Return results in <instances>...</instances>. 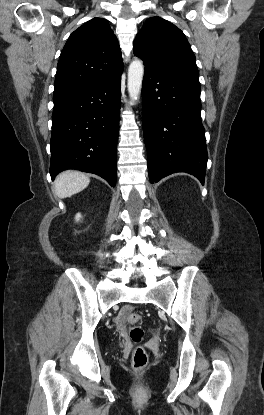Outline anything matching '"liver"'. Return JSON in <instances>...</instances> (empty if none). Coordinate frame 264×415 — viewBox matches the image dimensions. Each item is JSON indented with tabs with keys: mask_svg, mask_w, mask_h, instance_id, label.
<instances>
[{
	"mask_svg": "<svg viewBox=\"0 0 264 415\" xmlns=\"http://www.w3.org/2000/svg\"><path fill=\"white\" fill-rule=\"evenodd\" d=\"M89 183L90 179L84 173L67 170L60 173L55 179V193L59 198H67L84 190Z\"/></svg>",
	"mask_w": 264,
	"mask_h": 415,
	"instance_id": "liver-1",
	"label": "liver"
}]
</instances>
